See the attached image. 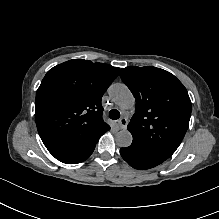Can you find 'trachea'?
<instances>
[{
	"instance_id": "obj_1",
	"label": "trachea",
	"mask_w": 219,
	"mask_h": 219,
	"mask_svg": "<svg viewBox=\"0 0 219 219\" xmlns=\"http://www.w3.org/2000/svg\"><path fill=\"white\" fill-rule=\"evenodd\" d=\"M120 112L116 109H112L109 112V118L113 119V120H117L120 118Z\"/></svg>"
}]
</instances>
